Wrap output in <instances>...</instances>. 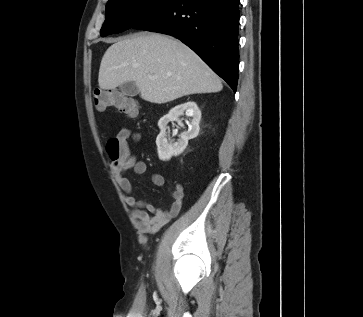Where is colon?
I'll use <instances>...</instances> for the list:
<instances>
[{
  "label": "colon",
  "instance_id": "colon-1",
  "mask_svg": "<svg viewBox=\"0 0 363 317\" xmlns=\"http://www.w3.org/2000/svg\"><path fill=\"white\" fill-rule=\"evenodd\" d=\"M93 105L99 111L114 107L125 114L136 117L138 107L132 97L126 96L116 90L103 91L96 89L92 95ZM106 150L114 162H119L123 155V144L118 136L109 139Z\"/></svg>",
  "mask_w": 363,
  "mask_h": 317
}]
</instances>
